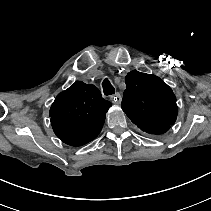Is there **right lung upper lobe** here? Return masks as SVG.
<instances>
[{"label":"right lung upper lobe","mask_w":211,"mask_h":211,"mask_svg":"<svg viewBox=\"0 0 211 211\" xmlns=\"http://www.w3.org/2000/svg\"><path fill=\"white\" fill-rule=\"evenodd\" d=\"M110 107L96 86L76 81L55 98L51 125L62 142L82 146L98 136Z\"/></svg>","instance_id":"cb5924a9"}]
</instances>
